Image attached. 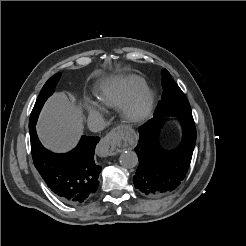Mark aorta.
<instances>
[{
    "instance_id": "762f6f07",
    "label": "aorta",
    "mask_w": 246,
    "mask_h": 246,
    "mask_svg": "<svg viewBox=\"0 0 246 246\" xmlns=\"http://www.w3.org/2000/svg\"><path fill=\"white\" fill-rule=\"evenodd\" d=\"M119 161L123 167L131 169L138 164V156L134 151H125L121 153Z\"/></svg>"
}]
</instances>
